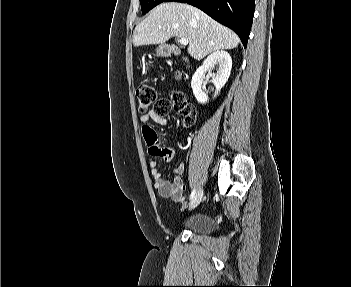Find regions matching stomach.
Segmentation results:
<instances>
[{"instance_id": "0dacf381", "label": "stomach", "mask_w": 351, "mask_h": 287, "mask_svg": "<svg viewBox=\"0 0 351 287\" xmlns=\"http://www.w3.org/2000/svg\"><path fill=\"white\" fill-rule=\"evenodd\" d=\"M157 52L159 53V55H163L164 54L163 47H159L157 49Z\"/></svg>"}]
</instances>
